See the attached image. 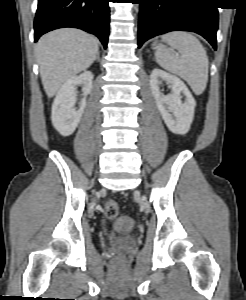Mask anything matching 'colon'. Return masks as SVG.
<instances>
[{
    "instance_id": "5ec220e1",
    "label": "colon",
    "mask_w": 246,
    "mask_h": 300,
    "mask_svg": "<svg viewBox=\"0 0 246 300\" xmlns=\"http://www.w3.org/2000/svg\"><path fill=\"white\" fill-rule=\"evenodd\" d=\"M105 215L108 219L114 221L116 230L127 232L132 229L134 222L129 217H119L118 203L113 200H107L104 206Z\"/></svg>"
}]
</instances>
